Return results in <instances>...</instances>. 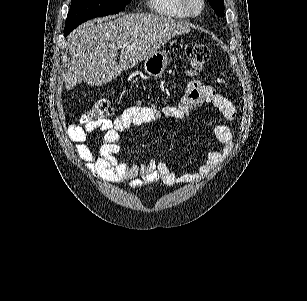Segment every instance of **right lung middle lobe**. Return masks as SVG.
<instances>
[{
	"label": "right lung middle lobe",
	"mask_w": 307,
	"mask_h": 301,
	"mask_svg": "<svg viewBox=\"0 0 307 301\" xmlns=\"http://www.w3.org/2000/svg\"><path fill=\"white\" fill-rule=\"evenodd\" d=\"M130 2L131 0H72L65 23L64 35L67 36L86 20L116 14L124 10Z\"/></svg>",
	"instance_id": "1"
}]
</instances>
